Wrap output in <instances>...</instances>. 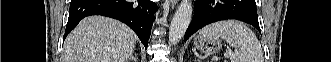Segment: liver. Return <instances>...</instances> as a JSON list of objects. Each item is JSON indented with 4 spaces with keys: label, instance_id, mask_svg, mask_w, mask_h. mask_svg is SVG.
I'll return each instance as SVG.
<instances>
[{
    "label": "liver",
    "instance_id": "liver-1",
    "mask_svg": "<svg viewBox=\"0 0 331 62\" xmlns=\"http://www.w3.org/2000/svg\"><path fill=\"white\" fill-rule=\"evenodd\" d=\"M136 41V34L125 24L90 16L67 36L63 62H126Z\"/></svg>",
    "mask_w": 331,
    "mask_h": 62
}]
</instances>
